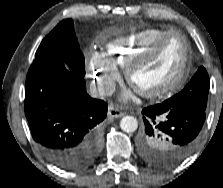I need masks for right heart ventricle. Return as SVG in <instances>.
Listing matches in <instances>:
<instances>
[{
  "instance_id": "1",
  "label": "right heart ventricle",
  "mask_w": 223,
  "mask_h": 188,
  "mask_svg": "<svg viewBox=\"0 0 223 188\" xmlns=\"http://www.w3.org/2000/svg\"><path fill=\"white\" fill-rule=\"evenodd\" d=\"M170 30L148 28L128 36L115 38L105 45L104 55L115 67L126 68L142 51Z\"/></svg>"
}]
</instances>
